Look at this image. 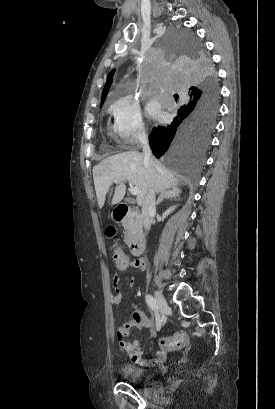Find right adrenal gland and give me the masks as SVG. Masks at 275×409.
Here are the masks:
<instances>
[{"label": "right adrenal gland", "instance_id": "right-adrenal-gland-1", "mask_svg": "<svg viewBox=\"0 0 275 409\" xmlns=\"http://www.w3.org/2000/svg\"><path fill=\"white\" fill-rule=\"evenodd\" d=\"M181 194L180 188L178 186H170V188H165L164 192H161L160 196H158V200L156 202V205H160V202H162L163 198H176V196H179Z\"/></svg>", "mask_w": 275, "mask_h": 409}]
</instances>
